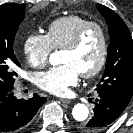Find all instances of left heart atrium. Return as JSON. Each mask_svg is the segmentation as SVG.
I'll use <instances>...</instances> for the list:
<instances>
[{
	"label": "left heart atrium",
	"mask_w": 133,
	"mask_h": 133,
	"mask_svg": "<svg viewBox=\"0 0 133 133\" xmlns=\"http://www.w3.org/2000/svg\"><path fill=\"white\" fill-rule=\"evenodd\" d=\"M79 76L80 72L73 64L63 63L48 71L38 73L35 76V82L41 89L63 96L68 93L69 87L77 84Z\"/></svg>",
	"instance_id": "left-heart-atrium-1"
}]
</instances>
